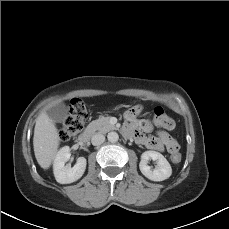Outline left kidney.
Segmentation results:
<instances>
[{"mask_svg": "<svg viewBox=\"0 0 229 229\" xmlns=\"http://www.w3.org/2000/svg\"><path fill=\"white\" fill-rule=\"evenodd\" d=\"M150 159L157 162V166L154 169H151L148 165ZM139 168L142 174L152 181H163L172 174V168L167 159L156 151H145L141 155Z\"/></svg>", "mask_w": 229, "mask_h": 229, "instance_id": "1", "label": "left kidney"}]
</instances>
